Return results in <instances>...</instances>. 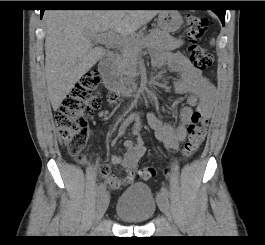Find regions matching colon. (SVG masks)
Listing matches in <instances>:
<instances>
[{"instance_id": "colon-1", "label": "colon", "mask_w": 265, "mask_h": 245, "mask_svg": "<svg viewBox=\"0 0 265 245\" xmlns=\"http://www.w3.org/2000/svg\"><path fill=\"white\" fill-rule=\"evenodd\" d=\"M186 27L190 42L188 54L193 65L203 71L210 69L213 65L212 55L197 44L206 31V21L200 17L190 16L186 20ZM99 80L97 71L85 76L66 96L55 114L59 139L62 145L67 147L69 153L76 158H80V153L87 141V118L107 104L101 97V91L98 88ZM207 122V117L201 112L193 113L192 122L188 128V137L182 149L184 159L192 157L201 149ZM168 173L169 171H165V174ZM156 174L157 171L153 166H145L139 170L138 177L142 180H149Z\"/></svg>"}]
</instances>
